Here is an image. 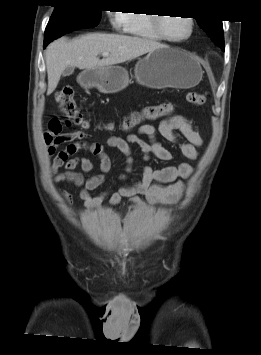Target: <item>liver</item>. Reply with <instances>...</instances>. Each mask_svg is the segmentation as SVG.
Listing matches in <instances>:
<instances>
[{
	"label": "liver",
	"instance_id": "6515ba94",
	"mask_svg": "<svg viewBox=\"0 0 261 355\" xmlns=\"http://www.w3.org/2000/svg\"><path fill=\"white\" fill-rule=\"evenodd\" d=\"M163 46L157 41L121 34L89 33L73 40L65 37L57 39L46 49L47 95L56 89L61 74L68 66L79 69L106 67L137 58ZM103 52L109 55L100 60L98 55Z\"/></svg>",
	"mask_w": 261,
	"mask_h": 355
}]
</instances>
